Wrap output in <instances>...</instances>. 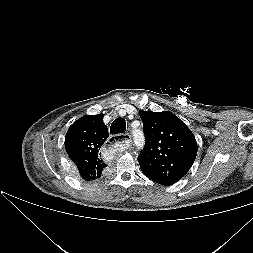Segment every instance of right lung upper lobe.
Here are the masks:
<instances>
[{
  "mask_svg": "<svg viewBox=\"0 0 253 253\" xmlns=\"http://www.w3.org/2000/svg\"><path fill=\"white\" fill-rule=\"evenodd\" d=\"M109 133L103 122V114L83 116L68 129L65 148L75 163L82 179H99L107 165L100 159V147Z\"/></svg>",
  "mask_w": 253,
  "mask_h": 253,
  "instance_id": "cb5924a9",
  "label": "right lung upper lobe"
}]
</instances>
